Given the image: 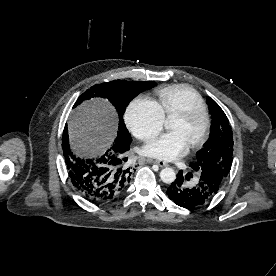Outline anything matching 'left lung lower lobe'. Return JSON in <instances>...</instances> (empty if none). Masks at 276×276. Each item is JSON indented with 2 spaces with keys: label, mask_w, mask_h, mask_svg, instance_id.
I'll use <instances>...</instances> for the list:
<instances>
[{
  "label": "left lung lower lobe",
  "mask_w": 276,
  "mask_h": 276,
  "mask_svg": "<svg viewBox=\"0 0 276 276\" xmlns=\"http://www.w3.org/2000/svg\"><path fill=\"white\" fill-rule=\"evenodd\" d=\"M193 174L195 179L194 183H191L190 179ZM221 186L220 178L210 173L207 168L200 172L192 169L186 175L181 170L176 180L167 189L166 194L175 204L191 209L209 202Z\"/></svg>",
  "instance_id": "1"
}]
</instances>
